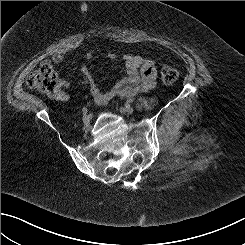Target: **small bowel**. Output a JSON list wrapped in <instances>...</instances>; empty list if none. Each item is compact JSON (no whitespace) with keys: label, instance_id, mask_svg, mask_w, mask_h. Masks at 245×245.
Listing matches in <instances>:
<instances>
[{"label":"small bowel","instance_id":"small-bowel-1","mask_svg":"<svg viewBox=\"0 0 245 245\" xmlns=\"http://www.w3.org/2000/svg\"><path fill=\"white\" fill-rule=\"evenodd\" d=\"M108 56L111 60L116 59V55L114 54H109ZM84 57L89 60L92 58V53L86 52ZM63 59L64 54L62 53H58L53 57L55 63H59ZM122 61L125 67V76L106 91L99 89L87 67L83 66L81 68V73L86 83L89 85L92 98L98 105H106L116 96L129 97L138 94H146L155 87L157 71L151 59L139 55L126 54L123 56ZM43 64L49 63L44 61ZM60 84L62 87L68 86L66 81H61ZM57 98L65 100L66 95L60 93Z\"/></svg>","mask_w":245,"mask_h":245}]
</instances>
